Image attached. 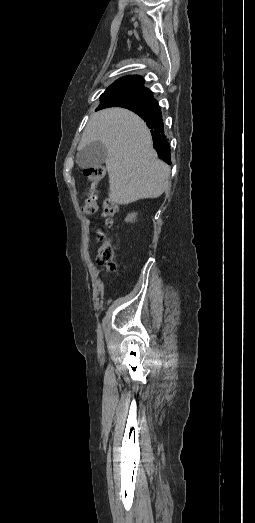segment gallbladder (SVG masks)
<instances>
[{
    "label": "gallbladder",
    "mask_w": 255,
    "mask_h": 523,
    "mask_svg": "<svg viewBox=\"0 0 255 523\" xmlns=\"http://www.w3.org/2000/svg\"><path fill=\"white\" fill-rule=\"evenodd\" d=\"M108 156V150L103 142H91L76 154V164L79 168H99L105 164Z\"/></svg>",
    "instance_id": "1"
}]
</instances>
